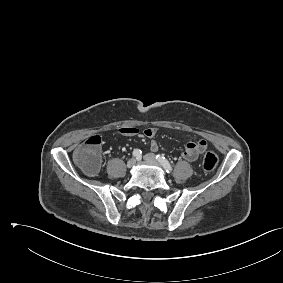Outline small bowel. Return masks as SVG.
<instances>
[{
  "label": "small bowel",
  "instance_id": "1",
  "mask_svg": "<svg viewBox=\"0 0 283 283\" xmlns=\"http://www.w3.org/2000/svg\"><path fill=\"white\" fill-rule=\"evenodd\" d=\"M119 132L126 136H134L139 134L141 131L136 127H123L119 129ZM142 133L148 138H154L157 131L155 128H147L143 130ZM207 147L208 143L204 139L195 142H189L182 152V157L187 161H195L199 157V155L207 149ZM150 148L152 151L158 150V144L155 140H152Z\"/></svg>",
  "mask_w": 283,
  "mask_h": 283
}]
</instances>
